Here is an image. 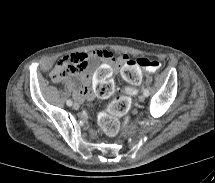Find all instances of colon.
Wrapping results in <instances>:
<instances>
[{"label": "colon", "mask_w": 215, "mask_h": 183, "mask_svg": "<svg viewBox=\"0 0 215 183\" xmlns=\"http://www.w3.org/2000/svg\"><path fill=\"white\" fill-rule=\"evenodd\" d=\"M161 63L154 59L138 58L128 60L121 70L123 80L128 84L125 89L126 94L115 97L108 105L107 109L99 116V124L101 129L107 135H115L119 130V117L126 114L129 109V95L134 94L133 86L137 85L141 79L140 69H146L151 72L159 70ZM71 73L70 68L58 63L53 73V78L59 80Z\"/></svg>", "instance_id": "5ec220e1"}]
</instances>
